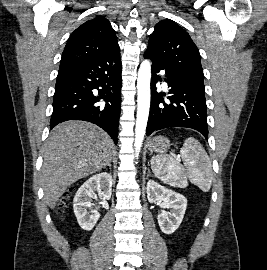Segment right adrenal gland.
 <instances>
[{"mask_svg":"<svg viewBox=\"0 0 267 270\" xmlns=\"http://www.w3.org/2000/svg\"><path fill=\"white\" fill-rule=\"evenodd\" d=\"M107 167H109L110 170L112 169V167H111V161H110L109 164H108L107 166H105L104 168H107Z\"/></svg>","mask_w":267,"mask_h":270,"instance_id":"2a0ac1e0","label":"right adrenal gland"}]
</instances>
